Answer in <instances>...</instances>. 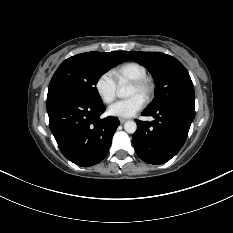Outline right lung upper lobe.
I'll use <instances>...</instances> for the list:
<instances>
[{"label":"right lung upper lobe","instance_id":"obj_1","mask_svg":"<svg viewBox=\"0 0 233 233\" xmlns=\"http://www.w3.org/2000/svg\"><path fill=\"white\" fill-rule=\"evenodd\" d=\"M123 56L126 58V60L128 59L127 56L124 54V52H122Z\"/></svg>","mask_w":233,"mask_h":233}]
</instances>
